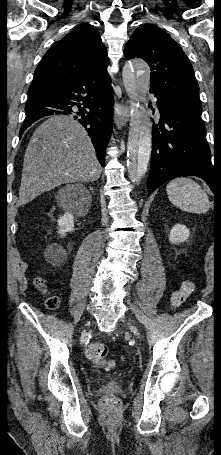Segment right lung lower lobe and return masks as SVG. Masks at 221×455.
Wrapping results in <instances>:
<instances>
[{
    "mask_svg": "<svg viewBox=\"0 0 221 455\" xmlns=\"http://www.w3.org/2000/svg\"><path fill=\"white\" fill-rule=\"evenodd\" d=\"M113 90L106 66L78 74L55 85L47 92L30 97L20 135L38 119L54 114L69 115L85 127L97 159L105 163V149L111 130Z\"/></svg>",
    "mask_w": 221,
    "mask_h": 455,
    "instance_id": "obj_1",
    "label": "right lung lower lobe"
}]
</instances>
